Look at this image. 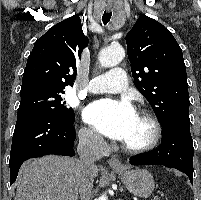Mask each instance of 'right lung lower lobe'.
<instances>
[{
    "instance_id": "1",
    "label": "right lung lower lobe",
    "mask_w": 201,
    "mask_h": 200,
    "mask_svg": "<svg viewBox=\"0 0 201 200\" xmlns=\"http://www.w3.org/2000/svg\"><path fill=\"white\" fill-rule=\"evenodd\" d=\"M74 119L67 121L47 113H33L17 118L10 152V185L17 178L22 163L47 154L75 155Z\"/></svg>"
}]
</instances>
